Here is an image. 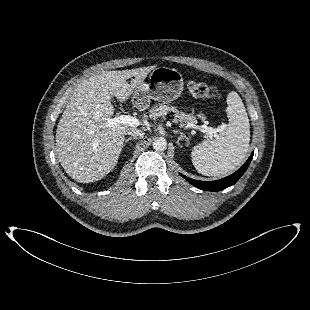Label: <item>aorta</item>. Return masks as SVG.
<instances>
[{"mask_svg": "<svg viewBox=\"0 0 310 310\" xmlns=\"http://www.w3.org/2000/svg\"><path fill=\"white\" fill-rule=\"evenodd\" d=\"M153 148L156 151H164L167 148V141L165 138L159 137L153 142Z\"/></svg>", "mask_w": 310, "mask_h": 310, "instance_id": "aorta-1", "label": "aorta"}]
</instances>
